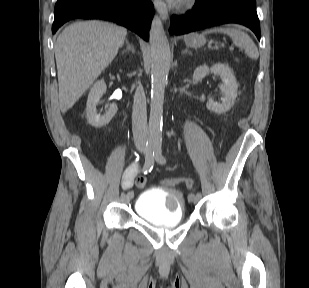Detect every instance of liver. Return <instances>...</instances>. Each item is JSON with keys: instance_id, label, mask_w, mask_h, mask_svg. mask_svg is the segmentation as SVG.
Returning <instances> with one entry per match:
<instances>
[{"instance_id": "1", "label": "liver", "mask_w": 309, "mask_h": 288, "mask_svg": "<svg viewBox=\"0 0 309 288\" xmlns=\"http://www.w3.org/2000/svg\"><path fill=\"white\" fill-rule=\"evenodd\" d=\"M127 30L102 21L66 27L55 44L59 104L67 112L109 66L123 46Z\"/></svg>"}]
</instances>
